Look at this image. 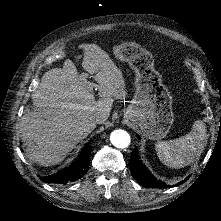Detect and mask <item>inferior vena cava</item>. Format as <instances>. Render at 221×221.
<instances>
[{"label":"inferior vena cava","mask_w":221,"mask_h":221,"mask_svg":"<svg viewBox=\"0 0 221 221\" xmlns=\"http://www.w3.org/2000/svg\"><path fill=\"white\" fill-rule=\"evenodd\" d=\"M99 118H100L99 114H94V115L90 116L89 120H90L92 125H96Z\"/></svg>","instance_id":"602c4592"}]
</instances>
